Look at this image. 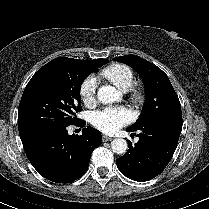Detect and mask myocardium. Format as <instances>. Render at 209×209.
<instances>
[{
    "instance_id": "1",
    "label": "myocardium",
    "mask_w": 209,
    "mask_h": 209,
    "mask_svg": "<svg viewBox=\"0 0 209 209\" xmlns=\"http://www.w3.org/2000/svg\"><path fill=\"white\" fill-rule=\"evenodd\" d=\"M139 98H140L139 95H138L137 92L134 90V91L132 92L131 99H132L133 101H138Z\"/></svg>"
}]
</instances>
